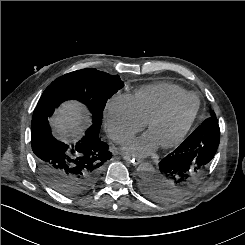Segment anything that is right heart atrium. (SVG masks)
I'll list each match as a JSON object with an SVG mask.
<instances>
[{"mask_svg": "<svg viewBox=\"0 0 245 245\" xmlns=\"http://www.w3.org/2000/svg\"><path fill=\"white\" fill-rule=\"evenodd\" d=\"M103 118L109 137L117 143L126 142L145 126L133 97L125 94H115L106 102Z\"/></svg>", "mask_w": 245, "mask_h": 245, "instance_id": "obj_1", "label": "right heart atrium"}]
</instances>
